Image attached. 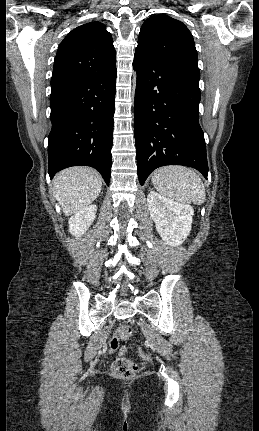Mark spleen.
Masks as SVG:
<instances>
[{
    "instance_id": "1",
    "label": "spleen",
    "mask_w": 259,
    "mask_h": 431,
    "mask_svg": "<svg viewBox=\"0 0 259 431\" xmlns=\"http://www.w3.org/2000/svg\"><path fill=\"white\" fill-rule=\"evenodd\" d=\"M151 181L162 195L184 204L201 205L206 199L201 178L187 167L171 165L158 168L152 173Z\"/></svg>"
}]
</instances>
